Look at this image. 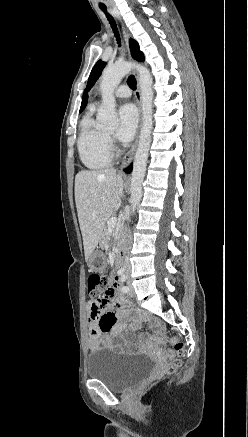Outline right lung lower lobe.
<instances>
[{
    "label": "right lung lower lobe",
    "mask_w": 248,
    "mask_h": 437,
    "mask_svg": "<svg viewBox=\"0 0 248 437\" xmlns=\"http://www.w3.org/2000/svg\"><path fill=\"white\" fill-rule=\"evenodd\" d=\"M126 173H130L132 171V165L124 170Z\"/></svg>",
    "instance_id": "obj_1"
}]
</instances>
